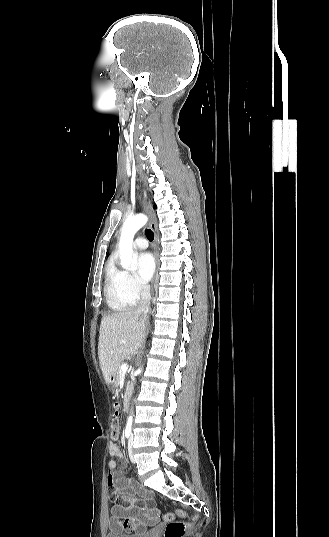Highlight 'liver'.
Listing matches in <instances>:
<instances>
[{"mask_svg": "<svg viewBox=\"0 0 329 537\" xmlns=\"http://www.w3.org/2000/svg\"><path fill=\"white\" fill-rule=\"evenodd\" d=\"M144 318L136 310H127L104 317L100 325L98 357L108 383L116 375L121 362L134 356L142 342Z\"/></svg>", "mask_w": 329, "mask_h": 537, "instance_id": "6515ba94", "label": "liver"}]
</instances>
